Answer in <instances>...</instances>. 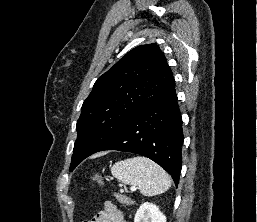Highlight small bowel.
<instances>
[{"instance_id": "small-bowel-1", "label": "small bowel", "mask_w": 257, "mask_h": 222, "mask_svg": "<svg viewBox=\"0 0 257 222\" xmlns=\"http://www.w3.org/2000/svg\"><path fill=\"white\" fill-rule=\"evenodd\" d=\"M85 222H126L124 214L111 202H106L104 209L98 212L92 219Z\"/></svg>"}]
</instances>
